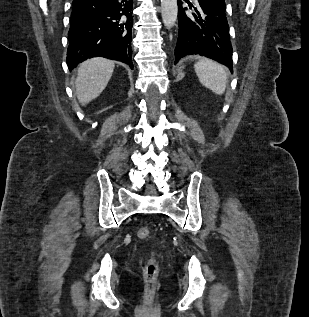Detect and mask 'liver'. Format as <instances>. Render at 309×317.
Wrapping results in <instances>:
<instances>
[{
  "label": "liver",
  "instance_id": "1",
  "mask_svg": "<svg viewBox=\"0 0 309 317\" xmlns=\"http://www.w3.org/2000/svg\"><path fill=\"white\" fill-rule=\"evenodd\" d=\"M114 66V61L99 57L81 63L76 79V91L82 105L88 104L102 93L112 76Z\"/></svg>",
  "mask_w": 309,
  "mask_h": 317
}]
</instances>
